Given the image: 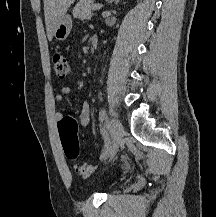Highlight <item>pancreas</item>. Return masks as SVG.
Wrapping results in <instances>:
<instances>
[{
    "label": "pancreas",
    "instance_id": "pancreas-1",
    "mask_svg": "<svg viewBox=\"0 0 216 217\" xmlns=\"http://www.w3.org/2000/svg\"><path fill=\"white\" fill-rule=\"evenodd\" d=\"M93 0H80L74 7L73 16L78 19H88L91 17Z\"/></svg>",
    "mask_w": 216,
    "mask_h": 217
}]
</instances>
